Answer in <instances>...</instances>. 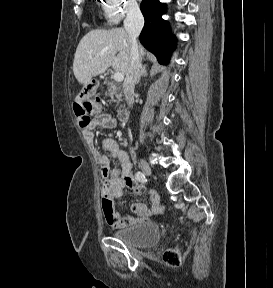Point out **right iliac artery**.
Instances as JSON below:
<instances>
[{"label":"right iliac artery","instance_id":"right-iliac-artery-1","mask_svg":"<svg viewBox=\"0 0 273 288\" xmlns=\"http://www.w3.org/2000/svg\"><path fill=\"white\" fill-rule=\"evenodd\" d=\"M135 178L139 181V182H144L145 181V175L138 171L136 174H135Z\"/></svg>","mask_w":273,"mask_h":288}]
</instances>
